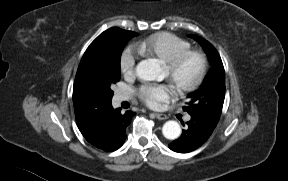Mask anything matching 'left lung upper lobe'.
<instances>
[{
	"label": "left lung upper lobe",
	"instance_id": "obj_1",
	"mask_svg": "<svg viewBox=\"0 0 288 181\" xmlns=\"http://www.w3.org/2000/svg\"><path fill=\"white\" fill-rule=\"evenodd\" d=\"M198 41L208 54L212 67L200 89L188 95L189 102L183 110L190 115L198 114L205 118L218 122L225 97V71L222 60L214 46L205 39L189 35Z\"/></svg>",
	"mask_w": 288,
	"mask_h": 181
}]
</instances>
